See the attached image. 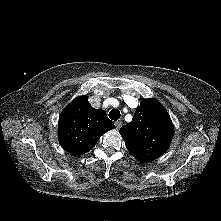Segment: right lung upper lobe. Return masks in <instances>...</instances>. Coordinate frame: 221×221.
Masks as SVG:
<instances>
[{
	"label": "right lung upper lobe",
	"instance_id": "right-lung-upper-lobe-1",
	"mask_svg": "<svg viewBox=\"0 0 221 221\" xmlns=\"http://www.w3.org/2000/svg\"><path fill=\"white\" fill-rule=\"evenodd\" d=\"M113 128L103 110L94 109L86 96H80L62 111L58 138L66 151L80 155L91 150L101 135Z\"/></svg>",
	"mask_w": 221,
	"mask_h": 221
}]
</instances>
